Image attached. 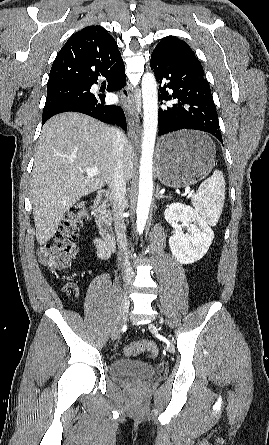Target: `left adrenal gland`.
<instances>
[{
	"label": "left adrenal gland",
	"instance_id": "obj_1",
	"mask_svg": "<svg viewBox=\"0 0 269 445\" xmlns=\"http://www.w3.org/2000/svg\"><path fill=\"white\" fill-rule=\"evenodd\" d=\"M161 198H169V197L160 194L159 187L157 186L156 199H161Z\"/></svg>",
	"mask_w": 269,
	"mask_h": 445
}]
</instances>
